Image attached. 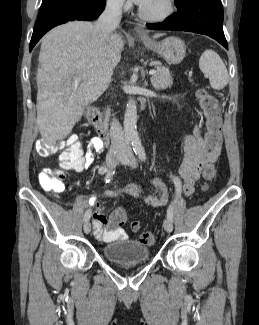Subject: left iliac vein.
<instances>
[{
	"label": "left iliac vein",
	"instance_id": "left-iliac-vein-1",
	"mask_svg": "<svg viewBox=\"0 0 259 325\" xmlns=\"http://www.w3.org/2000/svg\"><path fill=\"white\" fill-rule=\"evenodd\" d=\"M121 162L132 168H135L137 166V161L132 152H128L124 154L123 157L121 158ZM164 229L168 233L172 232L173 230V223L169 218H166L164 220Z\"/></svg>",
	"mask_w": 259,
	"mask_h": 325
}]
</instances>
